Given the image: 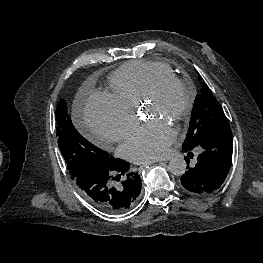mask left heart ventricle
Segmentation results:
<instances>
[{
    "label": "left heart ventricle",
    "instance_id": "obj_1",
    "mask_svg": "<svg viewBox=\"0 0 263 263\" xmlns=\"http://www.w3.org/2000/svg\"><path fill=\"white\" fill-rule=\"evenodd\" d=\"M185 94L177 87H169L156 100L146 103L144 112L149 118H162L173 122L185 104Z\"/></svg>",
    "mask_w": 263,
    "mask_h": 263
}]
</instances>
